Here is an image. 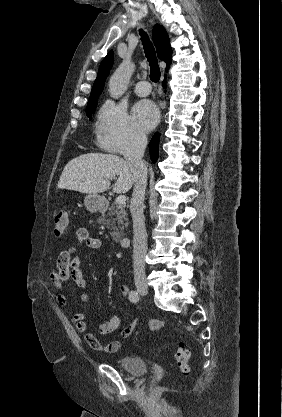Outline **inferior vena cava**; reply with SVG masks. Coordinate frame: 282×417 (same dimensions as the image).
Segmentation results:
<instances>
[{
    "mask_svg": "<svg viewBox=\"0 0 282 417\" xmlns=\"http://www.w3.org/2000/svg\"><path fill=\"white\" fill-rule=\"evenodd\" d=\"M147 144V136L142 132H133L130 136L128 150L124 154L131 172L134 174L135 186L130 202V213L133 221V269L134 281H146L145 255L147 253V233L143 215L145 188L147 184V166L142 160Z\"/></svg>",
    "mask_w": 282,
    "mask_h": 417,
    "instance_id": "1",
    "label": "inferior vena cava"
}]
</instances>
